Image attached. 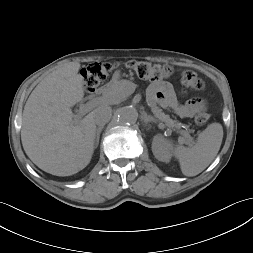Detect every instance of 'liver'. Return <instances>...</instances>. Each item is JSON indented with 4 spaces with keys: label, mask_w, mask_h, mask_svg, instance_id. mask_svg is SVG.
<instances>
[{
    "label": "liver",
    "mask_w": 253,
    "mask_h": 253,
    "mask_svg": "<svg viewBox=\"0 0 253 253\" xmlns=\"http://www.w3.org/2000/svg\"><path fill=\"white\" fill-rule=\"evenodd\" d=\"M80 63L63 64L32 91L23 110L21 141L30 160L43 171L70 176L92 158L94 111L75 121L71 107L84 97Z\"/></svg>",
    "instance_id": "1"
}]
</instances>
